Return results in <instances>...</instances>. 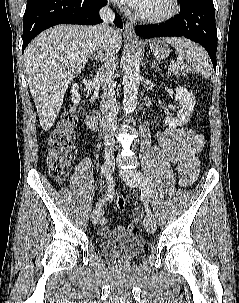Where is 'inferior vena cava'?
Segmentation results:
<instances>
[{"label":"inferior vena cava","instance_id":"1","mask_svg":"<svg viewBox=\"0 0 239 303\" xmlns=\"http://www.w3.org/2000/svg\"><path fill=\"white\" fill-rule=\"evenodd\" d=\"M103 23L96 26L97 47L103 49L105 54L100 52V60L104 62L99 68L96 76L99 78L102 89V126L104 133V145L106 150L113 148L115 140L114 133L117 128L118 107L114 91V70L116 68L115 52L110 48V40L114 32L109 23L115 18L113 11L108 6L103 7L99 12ZM98 52V49H97Z\"/></svg>","mask_w":239,"mask_h":303}]
</instances>
